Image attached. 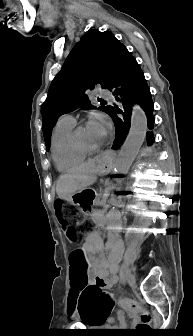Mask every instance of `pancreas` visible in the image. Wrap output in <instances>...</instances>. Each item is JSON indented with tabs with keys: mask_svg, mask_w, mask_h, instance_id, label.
<instances>
[{
	"mask_svg": "<svg viewBox=\"0 0 193 336\" xmlns=\"http://www.w3.org/2000/svg\"><path fill=\"white\" fill-rule=\"evenodd\" d=\"M110 194L107 192V195H103L102 198H98L97 204L94 206V209L96 211H99L100 213H103L104 211L109 209V206L107 205V200L109 199Z\"/></svg>",
	"mask_w": 193,
	"mask_h": 336,
	"instance_id": "pancreas-1",
	"label": "pancreas"
}]
</instances>
